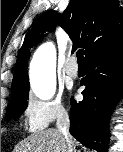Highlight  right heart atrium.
I'll use <instances>...</instances> for the list:
<instances>
[{
    "mask_svg": "<svg viewBox=\"0 0 123 152\" xmlns=\"http://www.w3.org/2000/svg\"><path fill=\"white\" fill-rule=\"evenodd\" d=\"M67 114V110L59 97L51 100L30 97L23 110L26 125L32 132L48 128L54 122L66 118Z\"/></svg>",
    "mask_w": 123,
    "mask_h": 152,
    "instance_id": "1",
    "label": "right heart atrium"
}]
</instances>
